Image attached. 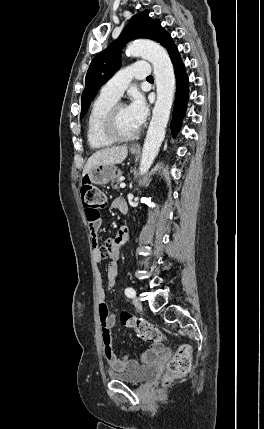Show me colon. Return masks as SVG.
I'll return each instance as SVG.
<instances>
[{
	"instance_id": "5ec220e1",
	"label": "colon",
	"mask_w": 264,
	"mask_h": 429,
	"mask_svg": "<svg viewBox=\"0 0 264 429\" xmlns=\"http://www.w3.org/2000/svg\"><path fill=\"white\" fill-rule=\"evenodd\" d=\"M83 207L90 223L100 219L101 211L106 206V197L103 192L90 182H83L80 188ZM123 326L132 328L144 341L152 344H161L164 341L163 333L154 325L136 318L129 312L120 314ZM192 349L189 345H182L170 358L167 366L165 381L185 376L191 366Z\"/></svg>"
}]
</instances>
